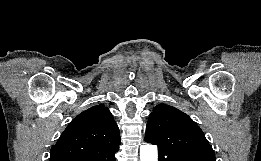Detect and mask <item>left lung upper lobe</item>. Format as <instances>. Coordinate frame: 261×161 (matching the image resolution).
<instances>
[{
	"instance_id": "1",
	"label": "left lung upper lobe",
	"mask_w": 261,
	"mask_h": 161,
	"mask_svg": "<svg viewBox=\"0 0 261 161\" xmlns=\"http://www.w3.org/2000/svg\"><path fill=\"white\" fill-rule=\"evenodd\" d=\"M145 141L164 148L197 153L215 161V153L199 126L177 108L159 104L150 114Z\"/></svg>"
}]
</instances>
